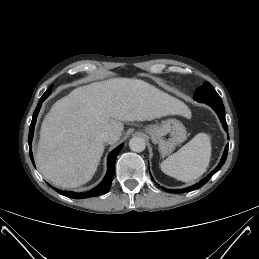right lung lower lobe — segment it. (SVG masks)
Wrapping results in <instances>:
<instances>
[{
	"label": "right lung lower lobe",
	"mask_w": 259,
	"mask_h": 259,
	"mask_svg": "<svg viewBox=\"0 0 259 259\" xmlns=\"http://www.w3.org/2000/svg\"><path fill=\"white\" fill-rule=\"evenodd\" d=\"M47 97L46 94H43V96L40 98L39 103L34 111L33 117H32V122L30 125V130H29V137H28V143H29V153H30V157L32 160V163L34 164V160H33V155H32V151H31V142H32V138H33V133H34V126H35V122H36V118L39 112V109L41 107V103L45 100V98ZM123 144L119 145L117 148H115L108 157V170L107 173L104 177V179L102 180V182L95 188L87 191V192H67V191H61L59 189H55L57 190V192H59L60 194L69 197V198H75V199H84V198H89V197H96L99 196L101 194L107 193L109 191L111 182L113 180V176H114V166H115V160L116 157L118 155V153L120 152L121 148H122Z\"/></svg>",
	"instance_id": "right-lung-lower-lobe-1"
}]
</instances>
